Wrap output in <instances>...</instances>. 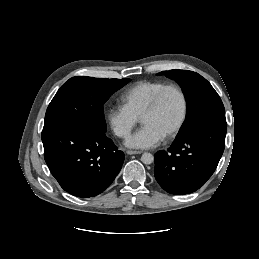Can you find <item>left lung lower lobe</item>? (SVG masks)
<instances>
[{"instance_id":"1","label":"left lung lower lobe","mask_w":259,"mask_h":259,"mask_svg":"<svg viewBox=\"0 0 259 259\" xmlns=\"http://www.w3.org/2000/svg\"><path fill=\"white\" fill-rule=\"evenodd\" d=\"M227 126L210 124L175 139L155 154V178L171 194L198 190L214 173L225 147Z\"/></svg>"}]
</instances>
